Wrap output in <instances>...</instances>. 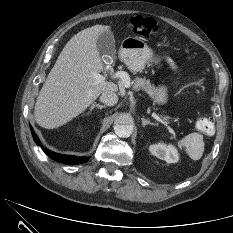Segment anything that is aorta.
Listing matches in <instances>:
<instances>
[{
    "label": "aorta",
    "instance_id": "obj_1",
    "mask_svg": "<svg viewBox=\"0 0 233 233\" xmlns=\"http://www.w3.org/2000/svg\"><path fill=\"white\" fill-rule=\"evenodd\" d=\"M114 130L119 137H129L133 132L132 116L127 113L119 114L115 119Z\"/></svg>",
    "mask_w": 233,
    "mask_h": 233
}]
</instances>
